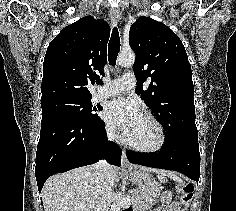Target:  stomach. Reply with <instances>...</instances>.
I'll return each instance as SVG.
<instances>
[{
	"label": "stomach",
	"instance_id": "stomach-1",
	"mask_svg": "<svg viewBox=\"0 0 236 211\" xmlns=\"http://www.w3.org/2000/svg\"><path fill=\"white\" fill-rule=\"evenodd\" d=\"M128 176L142 194L144 202L148 206L154 205L162 190L161 185L148 172L136 166L128 171Z\"/></svg>",
	"mask_w": 236,
	"mask_h": 211
}]
</instances>
